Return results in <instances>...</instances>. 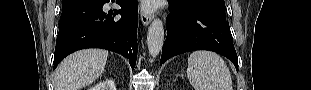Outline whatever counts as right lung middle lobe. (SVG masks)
<instances>
[{"label": "right lung middle lobe", "mask_w": 311, "mask_h": 90, "mask_svg": "<svg viewBox=\"0 0 311 90\" xmlns=\"http://www.w3.org/2000/svg\"><path fill=\"white\" fill-rule=\"evenodd\" d=\"M88 0H63L62 11Z\"/></svg>", "instance_id": "dd1d6c3e"}]
</instances>
